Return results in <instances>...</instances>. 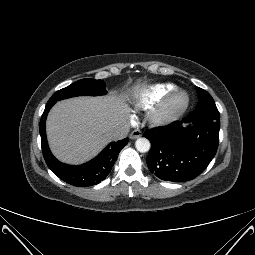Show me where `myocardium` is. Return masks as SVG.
Masks as SVG:
<instances>
[{
  "label": "myocardium",
  "instance_id": "1",
  "mask_svg": "<svg viewBox=\"0 0 255 255\" xmlns=\"http://www.w3.org/2000/svg\"><path fill=\"white\" fill-rule=\"evenodd\" d=\"M181 98L179 103L176 100ZM189 94L183 89L170 92L153 111L151 121L155 125H167L177 120L188 108Z\"/></svg>",
  "mask_w": 255,
  "mask_h": 255
}]
</instances>
